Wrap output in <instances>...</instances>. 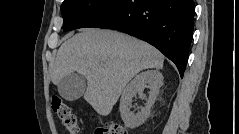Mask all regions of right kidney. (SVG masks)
Wrapping results in <instances>:
<instances>
[{
	"label": "right kidney",
	"instance_id": "right-kidney-1",
	"mask_svg": "<svg viewBox=\"0 0 239 134\" xmlns=\"http://www.w3.org/2000/svg\"><path fill=\"white\" fill-rule=\"evenodd\" d=\"M150 87V93L145 107L141 111L134 114L130 111L132 98L138 93L144 98L143 91L146 86ZM163 85V75L158 70H147L138 74L123 90L120 99V113L124 124L129 128H135L144 123L150 114V109L153 106L160 87Z\"/></svg>",
	"mask_w": 239,
	"mask_h": 134
}]
</instances>
